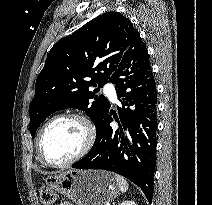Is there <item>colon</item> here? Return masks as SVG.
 I'll return each mask as SVG.
<instances>
[{
	"label": "colon",
	"mask_w": 212,
	"mask_h": 205,
	"mask_svg": "<svg viewBox=\"0 0 212 205\" xmlns=\"http://www.w3.org/2000/svg\"><path fill=\"white\" fill-rule=\"evenodd\" d=\"M56 194L50 186H44L40 191V202L42 205H52L55 202Z\"/></svg>",
	"instance_id": "1"
}]
</instances>
